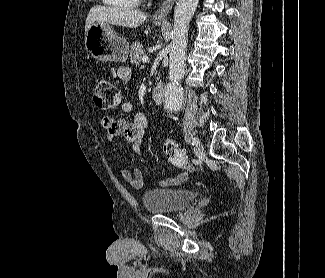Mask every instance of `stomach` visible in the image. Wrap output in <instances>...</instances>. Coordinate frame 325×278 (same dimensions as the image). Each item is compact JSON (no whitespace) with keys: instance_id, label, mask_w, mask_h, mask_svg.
<instances>
[{"instance_id":"stomach-1","label":"stomach","mask_w":325,"mask_h":278,"mask_svg":"<svg viewBox=\"0 0 325 278\" xmlns=\"http://www.w3.org/2000/svg\"><path fill=\"white\" fill-rule=\"evenodd\" d=\"M160 25V21H154ZM87 52L99 61H125L128 56L129 43L118 36L108 23L94 22L85 36Z\"/></svg>"}]
</instances>
